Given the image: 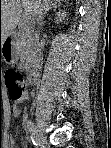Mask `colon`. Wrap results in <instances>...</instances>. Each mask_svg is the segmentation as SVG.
Returning a JSON list of instances; mask_svg holds the SVG:
<instances>
[{
  "instance_id": "5ec220e1",
  "label": "colon",
  "mask_w": 111,
  "mask_h": 148,
  "mask_svg": "<svg viewBox=\"0 0 111 148\" xmlns=\"http://www.w3.org/2000/svg\"><path fill=\"white\" fill-rule=\"evenodd\" d=\"M5 82L11 99L19 100L26 94L25 86L22 84V76L15 70L5 73Z\"/></svg>"
}]
</instances>
